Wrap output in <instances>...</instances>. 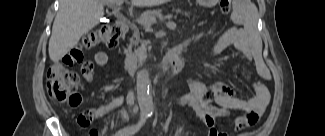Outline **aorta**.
Masks as SVG:
<instances>
[{
	"label": "aorta",
	"instance_id": "1",
	"mask_svg": "<svg viewBox=\"0 0 325 136\" xmlns=\"http://www.w3.org/2000/svg\"><path fill=\"white\" fill-rule=\"evenodd\" d=\"M150 84L149 72L147 70L140 71L137 76V97L141 111L146 114L153 112Z\"/></svg>",
	"mask_w": 325,
	"mask_h": 136
}]
</instances>
